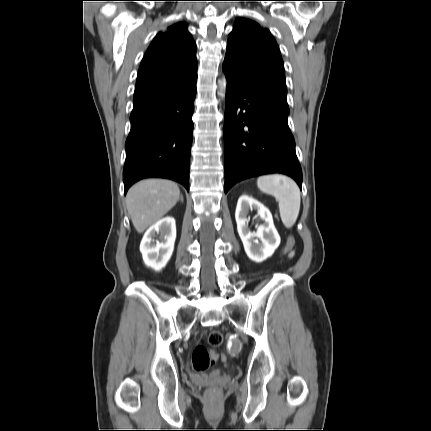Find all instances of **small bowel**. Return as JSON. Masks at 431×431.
<instances>
[{"label":"small bowel","instance_id":"c3829d8e","mask_svg":"<svg viewBox=\"0 0 431 431\" xmlns=\"http://www.w3.org/2000/svg\"><path fill=\"white\" fill-rule=\"evenodd\" d=\"M289 255H294V250H289Z\"/></svg>","mask_w":431,"mask_h":431}]
</instances>
